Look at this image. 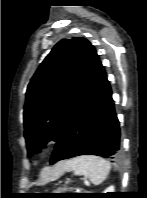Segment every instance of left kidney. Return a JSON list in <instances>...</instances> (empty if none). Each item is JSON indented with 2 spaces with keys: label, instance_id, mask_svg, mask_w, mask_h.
I'll return each instance as SVG.
<instances>
[{
  "label": "left kidney",
  "instance_id": "left-kidney-1",
  "mask_svg": "<svg viewBox=\"0 0 147 198\" xmlns=\"http://www.w3.org/2000/svg\"><path fill=\"white\" fill-rule=\"evenodd\" d=\"M107 192H114V187L113 186L108 187L106 191H104V193H107Z\"/></svg>",
  "mask_w": 147,
  "mask_h": 198
}]
</instances>
